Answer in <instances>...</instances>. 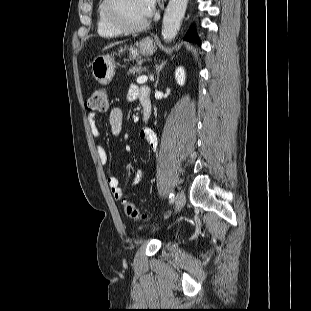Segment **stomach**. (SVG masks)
<instances>
[{
  "mask_svg": "<svg viewBox=\"0 0 311 311\" xmlns=\"http://www.w3.org/2000/svg\"><path fill=\"white\" fill-rule=\"evenodd\" d=\"M156 51V45L150 37L142 39L139 43H136V47H130L129 52L133 59L139 57V55H152ZM91 71L93 77L100 84H108L115 74V62L112 55H99L92 64Z\"/></svg>",
  "mask_w": 311,
  "mask_h": 311,
  "instance_id": "1",
  "label": "stomach"
}]
</instances>
